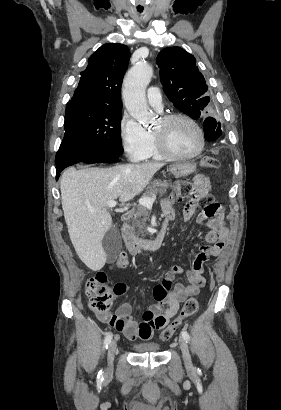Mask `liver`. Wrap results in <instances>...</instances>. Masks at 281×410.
Returning <instances> with one entry per match:
<instances>
[{"mask_svg":"<svg viewBox=\"0 0 281 410\" xmlns=\"http://www.w3.org/2000/svg\"><path fill=\"white\" fill-rule=\"evenodd\" d=\"M163 166L154 162L82 170L70 167L63 172L60 189L65 222L75 251L88 268L98 271L106 263L102 240L113 226L108 202L133 200Z\"/></svg>","mask_w":281,"mask_h":410,"instance_id":"liver-1","label":"liver"}]
</instances>
